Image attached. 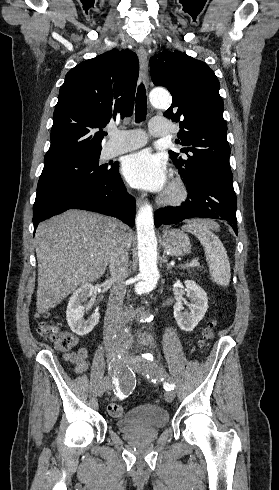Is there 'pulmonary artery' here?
I'll use <instances>...</instances> for the list:
<instances>
[{
    "label": "pulmonary artery",
    "mask_w": 279,
    "mask_h": 490,
    "mask_svg": "<svg viewBox=\"0 0 279 490\" xmlns=\"http://www.w3.org/2000/svg\"><path fill=\"white\" fill-rule=\"evenodd\" d=\"M150 123L154 128H151L150 131L155 136L164 135L176 128V125H170L165 117H152ZM110 134L112 136V145H108L104 149V155L107 158L133 151L142 147L147 142L145 136L131 137L132 135L140 134L139 130H132L131 128H112Z\"/></svg>",
    "instance_id": "obj_1"
}]
</instances>
